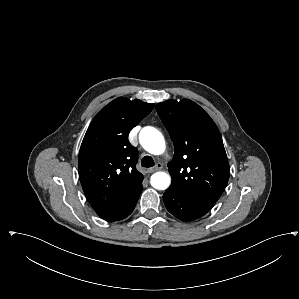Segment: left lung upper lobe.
Instances as JSON below:
<instances>
[{"instance_id":"5c2ea615","label":"left lung upper lobe","mask_w":299,"mask_h":299,"mask_svg":"<svg viewBox=\"0 0 299 299\" xmlns=\"http://www.w3.org/2000/svg\"><path fill=\"white\" fill-rule=\"evenodd\" d=\"M156 110L174 143L168 163L170 187L211 209L229 179L230 168L220 132L210 116L189 99L167 100Z\"/></svg>"}]
</instances>
